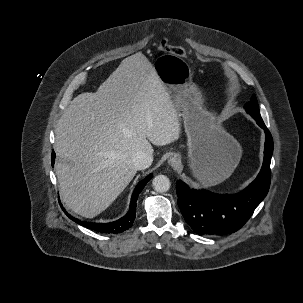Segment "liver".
I'll return each mask as SVG.
<instances>
[{"label": "liver", "instance_id": "liver-1", "mask_svg": "<svg viewBox=\"0 0 303 303\" xmlns=\"http://www.w3.org/2000/svg\"><path fill=\"white\" fill-rule=\"evenodd\" d=\"M177 107L149 60L125 58L97 92L75 97L56 128L55 166L68 209L93 218L134 178L132 157L180 136Z\"/></svg>", "mask_w": 303, "mask_h": 303}]
</instances>
